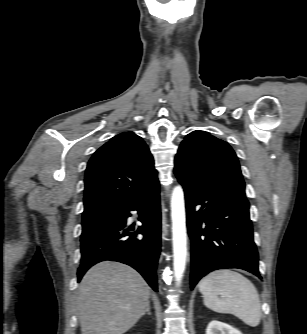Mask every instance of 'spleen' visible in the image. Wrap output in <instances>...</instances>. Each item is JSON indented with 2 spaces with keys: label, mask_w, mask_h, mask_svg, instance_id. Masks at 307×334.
<instances>
[{
  "label": "spleen",
  "mask_w": 307,
  "mask_h": 334,
  "mask_svg": "<svg viewBox=\"0 0 307 334\" xmlns=\"http://www.w3.org/2000/svg\"><path fill=\"white\" fill-rule=\"evenodd\" d=\"M204 305L217 312L233 314L256 327L261 320V304L253 283L235 271L221 269L206 275L199 283Z\"/></svg>",
  "instance_id": "1"
}]
</instances>
